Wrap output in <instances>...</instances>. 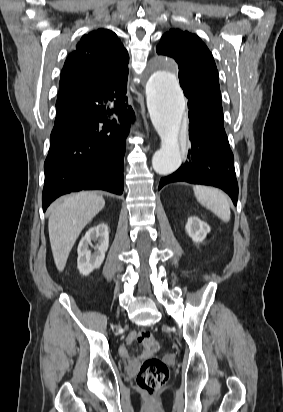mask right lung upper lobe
<instances>
[{"label":"right lung upper lobe","mask_w":283,"mask_h":412,"mask_svg":"<svg viewBox=\"0 0 283 412\" xmlns=\"http://www.w3.org/2000/svg\"><path fill=\"white\" fill-rule=\"evenodd\" d=\"M128 61V52L112 31L98 29L84 35L65 62L72 78L60 77L57 114L101 87L127 84Z\"/></svg>","instance_id":"right-lung-upper-lobe-1"}]
</instances>
